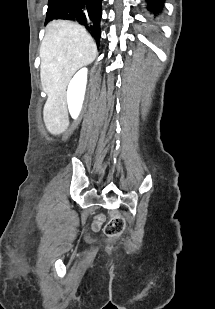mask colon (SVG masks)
Listing matches in <instances>:
<instances>
[{"label":"colon","instance_id":"1","mask_svg":"<svg viewBox=\"0 0 215 309\" xmlns=\"http://www.w3.org/2000/svg\"><path fill=\"white\" fill-rule=\"evenodd\" d=\"M125 222L120 216H113L105 225L104 232L108 236H116L124 230Z\"/></svg>","mask_w":215,"mask_h":309}]
</instances>
